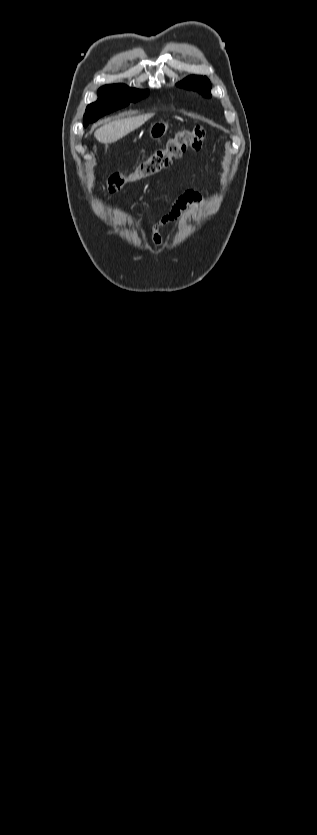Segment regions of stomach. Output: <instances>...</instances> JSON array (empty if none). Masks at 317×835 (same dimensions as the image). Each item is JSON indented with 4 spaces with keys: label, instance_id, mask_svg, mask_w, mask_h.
I'll use <instances>...</instances> for the list:
<instances>
[{
    "label": "stomach",
    "instance_id": "0dacf381",
    "mask_svg": "<svg viewBox=\"0 0 317 835\" xmlns=\"http://www.w3.org/2000/svg\"><path fill=\"white\" fill-rule=\"evenodd\" d=\"M169 130V124L167 122L158 121L151 125L149 128V136L152 140L157 141L160 140Z\"/></svg>",
    "mask_w": 317,
    "mask_h": 835
}]
</instances>
